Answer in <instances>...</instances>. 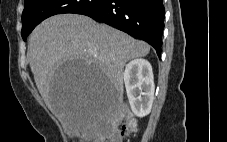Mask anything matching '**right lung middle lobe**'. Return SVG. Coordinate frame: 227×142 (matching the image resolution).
Wrapping results in <instances>:
<instances>
[{"label": "right lung middle lobe", "instance_id": "1", "mask_svg": "<svg viewBox=\"0 0 227 142\" xmlns=\"http://www.w3.org/2000/svg\"><path fill=\"white\" fill-rule=\"evenodd\" d=\"M105 0H28L22 13L24 41L44 19L61 13H80L103 4Z\"/></svg>", "mask_w": 227, "mask_h": 142}]
</instances>
